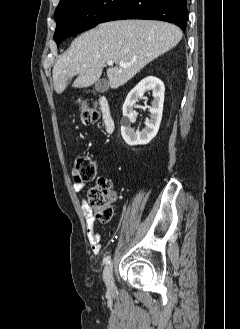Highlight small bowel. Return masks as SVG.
I'll use <instances>...</instances> for the list:
<instances>
[{"label":"small bowel","mask_w":240,"mask_h":329,"mask_svg":"<svg viewBox=\"0 0 240 329\" xmlns=\"http://www.w3.org/2000/svg\"><path fill=\"white\" fill-rule=\"evenodd\" d=\"M84 188L82 183H74L73 190L76 193H80ZM80 204L83 210V213L86 218V233L88 241L91 245V249L94 253H99L101 251V237L97 231L95 220L92 216L90 208L87 206L83 198L80 199Z\"/></svg>","instance_id":"c3829d8e"}]
</instances>
